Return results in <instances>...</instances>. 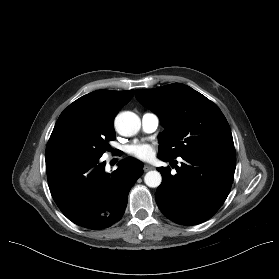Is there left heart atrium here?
Wrapping results in <instances>:
<instances>
[{"instance_id": "39dd6f15", "label": "left heart atrium", "mask_w": 279, "mask_h": 279, "mask_svg": "<svg viewBox=\"0 0 279 279\" xmlns=\"http://www.w3.org/2000/svg\"><path fill=\"white\" fill-rule=\"evenodd\" d=\"M128 153L140 160L148 161L153 157V148L146 143H136L129 146Z\"/></svg>"}]
</instances>
